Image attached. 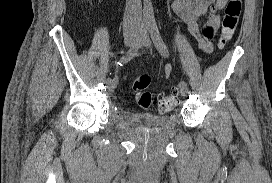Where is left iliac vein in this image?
<instances>
[{
  "label": "left iliac vein",
  "instance_id": "4c4485c4",
  "mask_svg": "<svg viewBox=\"0 0 272 183\" xmlns=\"http://www.w3.org/2000/svg\"><path fill=\"white\" fill-rule=\"evenodd\" d=\"M137 43L140 46H145V47H149L151 45V41H150L149 37L147 36V34L142 38L139 37L138 40H137ZM180 93L183 96H186V95L190 94V91L187 88H184V89L180 90Z\"/></svg>",
  "mask_w": 272,
  "mask_h": 183
}]
</instances>
